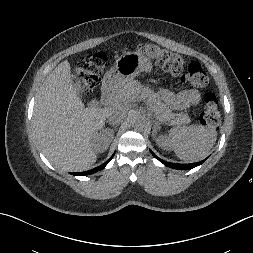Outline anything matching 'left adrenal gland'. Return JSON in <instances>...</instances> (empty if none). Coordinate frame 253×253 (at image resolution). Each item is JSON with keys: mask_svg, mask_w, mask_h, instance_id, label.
Returning <instances> with one entry per match:
<instances>
[{"mask_svg": "<svg viewBox=\"0 0 253 253\" xmlns=\"http://www.w3.org/2000/svg\"><path fill=\"white\" fill-rule=\"evenodd\" d=\"M154 122H155V125H154V129L152 132L153 137H155V133L157 132V129L159 128V125H160V123H158V121L155 120Z\"/></svg>", "mask_w": 253, "mask_h": 253, "instance_id": "1", "label": "left adrenal gland"}]
</instances>
